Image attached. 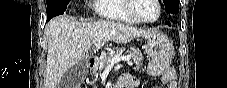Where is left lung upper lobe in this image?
I'll use <instances>...</instances> for the list:
<instances>
[{
  "label": "left lung upper lobe",
  "mask_w": 227,
  "mask_h": 88,
  "mask_svg": "<svg viewBox=\"0 0 227 88\" xmlns=\"http://www.w3.org/2000/svg\"><path fill=\"white\" fill-rule=\"evenodd\" d=\"M167 14L177 13L179 11V1L178 0H163Z\"/></svg>",
  "instance_id": "1"
}]
</instances>
